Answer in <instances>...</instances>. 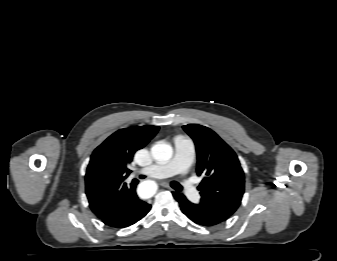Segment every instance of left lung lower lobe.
I'll list each match as a JSON object with an SVG mask.
<instances>
[{"label": "left lung lower lobe", "mask_w": 337, "mask_h": 261, "mask_svg": "<svg viewBox=\"0 0 337 261\" xmlns=\"http://www.w3.org/2000/svg\"><path fill=\"white\" fill-rule=\"evenodd\" d=\"M174 198L179 202L181 211L194 223L205 226H217L226 220L212 211L189 202L186 197L178 192L173 193Z\"/></svg>", "instance_id": "1"}]
</instances>
